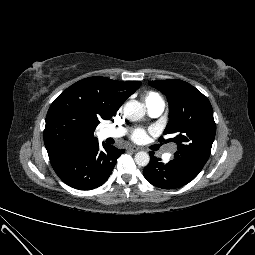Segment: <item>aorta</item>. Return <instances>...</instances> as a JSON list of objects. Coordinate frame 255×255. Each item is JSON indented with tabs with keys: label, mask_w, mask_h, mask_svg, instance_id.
I'll return each mask as SVG.
<instances>
[{
	"label": "aorta",
	"mask_w": 255,
	"mask_h": 255,
	"mask_svg": "<svg viewBox=\"0 0 255 255\" xmlns=\"http://www.w3.org/2000/svg\"><path fill=\"white\" fill-rule=\"evenodd\" d=\"M145 112V107L136 100L129 101L124 106V115L130 121H138L142 119ZM134 159L138 166L145 167L150 161V156L147 152L140 151L135 154Z\"/></svg>",
	"instance_id": "1"
}]
</instances>
